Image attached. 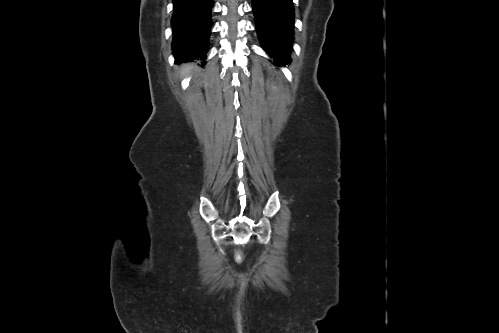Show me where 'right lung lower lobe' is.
<instances>
[{
	"label": "right lung lower lobe",
	"instance_id": "1",
	"mask_svg": "<svg viewBox=\"0 0 499 333\" xmlns=\"http://www.w3.org/2000/svg\"><path fill=\"white\" fill-rule=\"evenodd\" d=\"M213 4L214 0H173L172 49L176 62L206 59Z\"/></svg>",
	"mask_w": 499,
	"mask_h": 333
}]
</instances>
